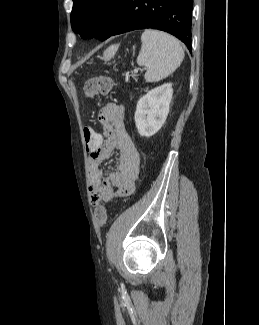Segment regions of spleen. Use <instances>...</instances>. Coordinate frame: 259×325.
<instances>
[{
	"label": "spleen",
	"instance_id": "3e777b00",
	"mask_svg": "<svg viewBox=\"0 0 259 325\" xmlns=\"http://www.w3.org/2000/svg\"><path fill=\"white\" fill-rule=\"evenodd\" d=\"M141 50L138 65H146V82H158L173 73L184 59L180 42L172 35L153 29L141 35Z\"/></svg>",
	"mask_w": 259,
	"mask_h": 325
}]
</instances>
